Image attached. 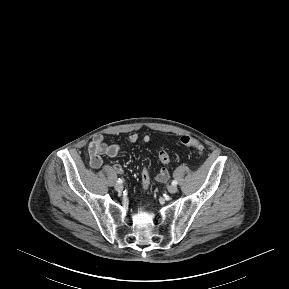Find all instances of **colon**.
Here are the masks:
<instances>
[{
	"instance_id": "obj_1",
	"label": "colon",
	"mask_w": 289,
	"mask_h": 289,
	"mask_svg": "<svg viewBox=\"0 0 289 289\" xmlns=\"http://www.w3.org/2000/svg\"><path fill=\"white\" fill-rule=\"evenodd\" d=\"M181 142L185 146L197 150L199 153L203 152L202 143L198 139H196L192 136H189V135L182 136ZM158 158H159L160 162H162L163 164H167L170 161V157L165 150H161L159 152ZM142 185H143V188L145 190H147L149 188V185H150V175H149V170L147 167H145L143 169V172H142Z\"/></svg>"
}]
</instances>
